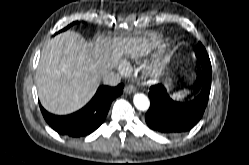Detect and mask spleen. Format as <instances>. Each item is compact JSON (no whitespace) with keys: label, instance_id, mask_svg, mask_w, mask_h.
<instances>
[{"label":"spleen","instance_id":"spleen-1","mask_svg":"<svg viewBox=\"0 0 249 165\" xmlns=\"http://www.w3.org/2000/svg\"><path fill=\"white\" fill-rule=\"evenodd\" d=\"M185 95H186V92H180V93L175 94L173 97L176 99H181Z\"/></svg>","mask_w":249,"mask_h":165}]
</instances>
